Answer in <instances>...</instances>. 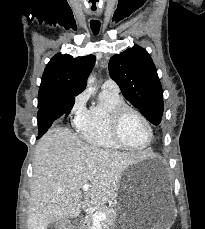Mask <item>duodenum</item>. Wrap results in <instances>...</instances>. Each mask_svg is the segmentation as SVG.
I'll use <instances>...</instances> for the list:
<instances>
[{"label":"duodenum","mask_w":205,"mask_h":229,"mask_svg":"<svg viewBox=\"0 0 205 229\" xmlns=\"http://www.w3.org/2000/svg\"><path fill=\"white\" fill-rule=\"evenodd\" d=\"M73 223H74V224L78 223V220H77V219H75V220L73 221Z\"/></svg>","instance_id":"obj_1"}]
</instances>
